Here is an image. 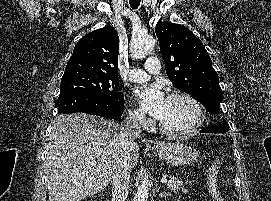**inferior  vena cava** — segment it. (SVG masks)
Masks as SVG:
<instances>
[{"label":"inferior vena cava","mask_w":271,"mask_h":201,"mask_svg":"<svg viewBox=\"0 0 271 201\" xmlns=\"http://www.w3.org/2000/svg\"><path fill=\"white\" fill-rule=\"evenodd\" d=\"M145 121L143 112H131L118 126V138L123 148L129 145L140 135L142 123ZM131 165L128 156L121 157L113 170L112 201H125L128 196Z\"/></svg>","instance_id":"1"}]
</instances>
